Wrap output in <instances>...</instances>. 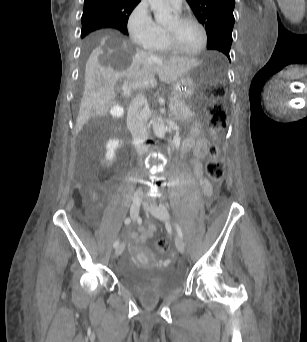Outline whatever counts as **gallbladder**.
Instances as JSON below:
<instances>
[{"label": "gallbladder", "mask_w": 307, "mask_h": 342, "mask_svg": "<svg viewBox=\"0 0 307 342\" xmlns=\"http://www.w3.org/2000/svg\"><path fill=\"white\" fill-rule=\"evenodd\" d=\"M122 103H115L113 111L111 112L112 118H120L122 116Z\"/></svg>", "instance_id": "obj_1"}]
</instances>
